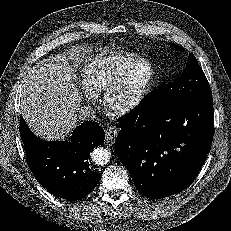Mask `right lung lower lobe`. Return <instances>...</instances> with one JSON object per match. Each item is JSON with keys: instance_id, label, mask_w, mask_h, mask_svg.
<instances>
[{"instance_id": "right-lung-lower-lobe-1", "label": "right lung lower lobe", "mask_w": 231, "mask_h": 231, "mask_svg": "<svg viewBox=\"0 0 231 231\" xmlns=\"http://www.w3.org/2000/svg\"><path fill=\"white\" fill-rule=\"evenodd\" d=\"M20 135L30 170L49 192L76 201L96 187L100 174L90 169L88 159L105 138L97 122H83L67 141L47 142L38 139L21 117Z\"/></svg>"}]
</instances>
